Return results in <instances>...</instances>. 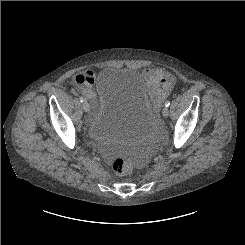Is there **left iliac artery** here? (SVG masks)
I'll use <instances>...</instances> for the list:
<instances>
[{"instance_id":"left-iliac-artery-1","label":"left iliac artery","mask_w":245,"mask_h":245,"mask_svg":"<svg viewBox=\"0 0 245 245\" xmlns=\"http://www.w3.org/2000/svg\"><path fill=\"white\" fill-rule=\"evenodd\" d=\"M170 105V102L169 101H166L165 102V107H168Z\"/></svg>"}]
</instances>
